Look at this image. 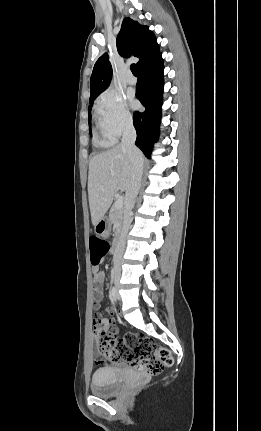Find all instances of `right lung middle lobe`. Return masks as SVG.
Instances as JSON below:
<instances>
[{
	"label": "right lung middle lobe",
	"instance_id": "1",
	"mask_svg": "<svg viewBox=\"0 0 261 431\" xmlns=\"http://www.w3.org/2000/svg\"><path fill=\"white\" fill-rule=\"evenodd\" d=\"M95 100V98L94 99H92V100H89V103H91V105L89 106V108H88V114H89V126H90V124H91V116H90V112H91V108H92V103H93V101Z\"/></svg>",
	"mask_w": 261,
	"mask_h": 431
}]
</instances>
